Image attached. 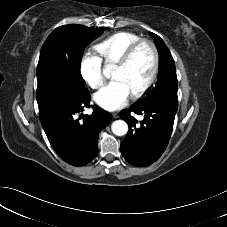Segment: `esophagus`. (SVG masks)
<instances>
[{
  "instance_id": "esophagus-1",
  "label": "esophagus",
  "mask_w": 227,
  "mask_h": 227,
  "mask_svg": "<svg viewBox=\"0 0 227 227\" xmlns=\"http://www.w3.org/2000/svg\"><path fill=\"white\" fill-rule=\"evenodd\" d=\"M112 117H113L114 119L118 118V113H113V114H112Z\"/></svg>"
}]
</instances>
